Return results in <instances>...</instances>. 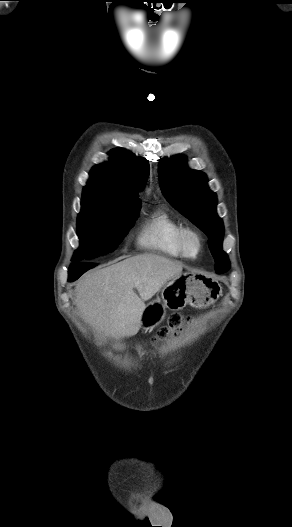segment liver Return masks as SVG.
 Instances as JSON below:
<instances>
[{"mask_svg":"<svg viewBox=\"0 0 292 527\" xmlns=\"http://www.w3.org/2000/svg\"><path fill=\"white\" fill-rule=\"evenodd\" d=\"M182 270L180 262L156 254L132 256L86 274L75 287V303L83 319L100 332L131 337L141 328L145 301Z\"/></svg>","mask_w":292,"mask_h":527,"instance_id":"6515ba94","label":"liver"}]
</instances>
